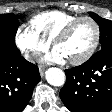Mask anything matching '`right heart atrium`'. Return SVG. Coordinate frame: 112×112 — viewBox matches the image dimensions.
<instances>
[{
    "label": "right heart atrium",
    "instance_id": "right-heart-atrium-1",
    "mask_svg": "<svg viewBox=\"0 0 112 112\" xmlns=\"http://www.w3.org/2000/svg\"><path fill=\"white\" fill-rule=\"evenodd\" d=\"M15 44L23 57L30 62L47 51L49 43L40 38L30 26L22 25L15 32Z\"/></svg>",
    "mask_w": 112,
    "mask_h": 112
}]
</instances>
